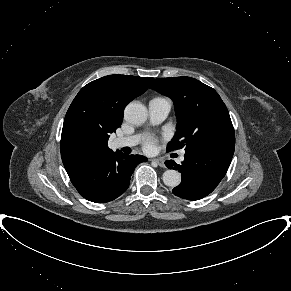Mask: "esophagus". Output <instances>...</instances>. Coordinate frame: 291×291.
Instances as JSON below:
<instances>
[{"instance_id": "obj_1", "label": "esophagus", "mask_w": 291, "mask_h": 291, "mask_svg": "<svg viewBox=\"0 0 291 291\" xmlns=\"http://www.w3.org/2000/svg\"><path fill=\"white\" fill-rule=\"evenodd\" d=\"M151 161L157 163L160 167H164L165 166L164 161L162 159H160V158H154Z\"/></svg>"}]
</instances>
